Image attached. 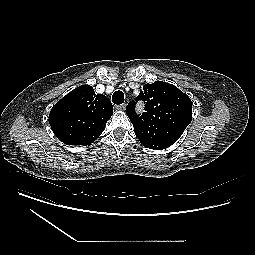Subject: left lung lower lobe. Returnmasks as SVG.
I'll return each mask as SVG.
<instances>
[{
    "instance_id": "obj_1",
    "label": "left lung lower lobe",
    "mask_w": 255,
    "mask_h": 255,
    "mask_svg": "<svg viewBox=\"0 0 255 255\" xmlns=\"http://www.w3.org/2000/svg\"><path fill=\"white\" fill-rule=\"evenodd\" d=\"M174 143L175 142H171V141H162V142L145 143L143 145L149 149L162 150V149L168 148Z\"/></svg>"
}]
</instances>
